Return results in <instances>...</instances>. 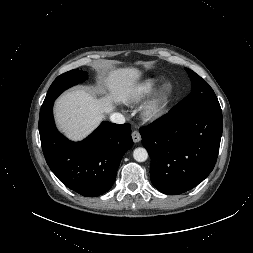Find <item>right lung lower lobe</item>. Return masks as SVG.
I'll list each match as a JSON object with an SVG mask.
<instances>
[{"label": "right lung lower lobe", "instance_id": "right-lung-lower-lobe-1", "mask_svg": "<svg viewBox=\"0 0 253 253\" xmlns=\"http://www.w3.org/2000/svg\"><path fill=\"white\" fill-rule=\"evenodd\" d=\"M53 102L42 105L39 116L41 146L48 166L65 186L83 196L107 192L123 155L133 145L130 124L102 122L85 140L72 142L55 127Z\"/></svg>", "mask_w": 253, "mask_h": 253}]
</instances>
